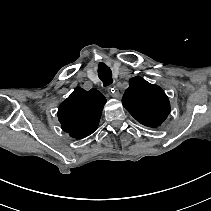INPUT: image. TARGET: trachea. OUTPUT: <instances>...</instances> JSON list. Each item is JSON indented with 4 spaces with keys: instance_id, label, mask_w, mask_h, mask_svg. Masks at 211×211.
I'll return each instance as SVG.
<instances>
[{
    "instance_id": "trachea-1",
    "label": "trachea",
    "mask_w": 211,
    "mask_h": 211,
    "mask_svg": "<svg viewBox=\"0 0 211 211\" xmlns=\"http://www.w3.org/2000/svg\"><path fill=\"white\" fill-rule=\"evenodd\" d=\"M98 77L101 79L104 86L113 84L112 72L110 68L103 63L99 65Z\"/></svg>"
}]
</instances>
